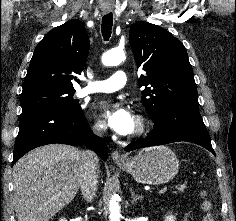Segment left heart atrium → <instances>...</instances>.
Segmentation results:
<instances>
[{"label": "left heart atrium", "mask_w": 236, "mask_h": 221, "mask_svg": "<svg viewBox=\"0 0 236 221\" xmlns=\"http://www.w3.org/2000/svg\"><path fill=\"white\" fill-rule=\"evenodd\" d=\"M101 108L107 124L114 132L119 135H127L132 132L135 118L125 105L102 102Z\"/></svg>", "instance_id": "39dd6f15"}]
</instances>
